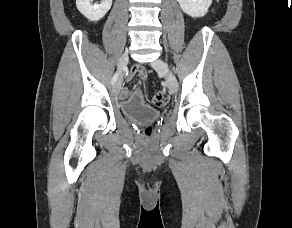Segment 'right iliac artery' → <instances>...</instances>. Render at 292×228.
<instances>
[{"label": "right iliac artery", "instance_id": "right-iliac-artery-1", "mask_svg": "<svg viewBox=\"0 0 292 228\" xmlns=\"http://www.w3.org/2000/svg\"><path fill=\"white\" fill-rule=\"evenodd\" d=\"M118 76H119V72H116V73L114 74L113 78H112V81H111L112 84H115V82H116L117 79H118Z\"/></svg>", "mask_w": 292, "mask_h": 228}]
</instances>
